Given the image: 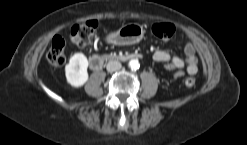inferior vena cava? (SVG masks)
I'll use <instances>...</instances> for the list:
<instances>
[{
    "label": "inferior vena cava",
    "mask_w": 247,
    "mask_h": 145,
    "mask_svg": "<svg viewBox=\"0 0 247 145\" xmlns=\"http://www.w3.org/2000/svg\"><path fill=\"white\" fill-rule=\"evenodd\" d=\"M122 67L121 63L119 61H109L106 65V69L108 72H114L117 70H120Z\"/></svg>",
    "instance_id": "602c4592"
}]
</instances>
